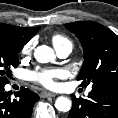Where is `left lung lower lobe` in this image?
<instances>
[{
	"mask_svg": "<svg viewBox=\"0 0 118 118\" xmlns=\"http://www.w3.org/2000/svg\"><path fill=\"white\" fill-rule=\"evenodd\" d=\"M67 118H118V89H92L87 99L72 95Z\"/></svg>",
	"mask_w": 118,
	"mask_h": 118,
	"instance_id": "left-lung-lower-lobe-1",
	"label": "left lung lower lobe"
}]
</instances>
